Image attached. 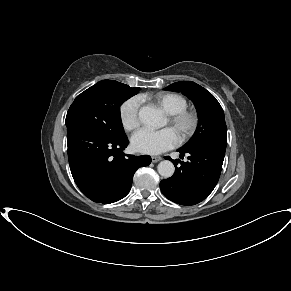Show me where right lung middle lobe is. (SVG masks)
Listing matches in <instances>:
<instances>
[{
	"instance_id": "right-lung-middle-lobe-1",
	"label": "right lung middle lobe",
	"mask_w": 291,
	"mask_h": 291,
	"mask_svg": "<svg viewBox=\"0 0 291 291\" xmlns=\"http://www.w3.org/2000/svg\"><path fill=\"white\" fill-rule=\"evenodd\" d=\"M139 92L114 80H102L79 94L66 116L67 129H84L106 138L126 136L120 106Z\"/></svg>"
}]
</instances>
